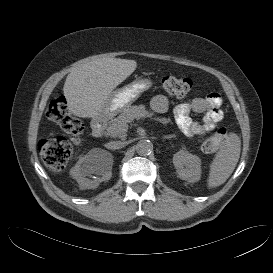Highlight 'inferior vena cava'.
Segmentation results:
<instances>
[{"instance_id":"1","label":"inferior vena cava","mask_w":273,"mask_h":273,"mask_svg":"<svg viewBox=\"0 0 273 273\" xmlns=\"http://www.w3.org/2000/svg\"><path fill=\"white\" fill-rule=\"evenodd\" d=\"M126 145L125 142H122V141H112L109 143V147L111 149H121L123 148L124 146Z\"/></svg>"}]
</instances>
